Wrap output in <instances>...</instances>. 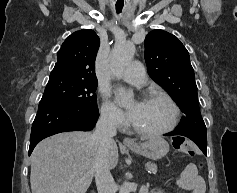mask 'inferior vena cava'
Masks as SVG:
<instances>
[{"mask_svg": "<svg viewBox=\"0 0 237 193\" xmlns=\"http://www.w3.org/2000/svg\"><path fill=\"white\" fill-rule=\"evenodd\" d=\"M117 119L114 114L102 113L93 133L95 141V181L98 193H116V185L106 164L109 144L116 135Z\"/></svg>", "mask_w": 237, "mask_h": 193, "instance_id": "inferior-vena-cava-1", "label": "inferior vena cava"}]
</instances>
